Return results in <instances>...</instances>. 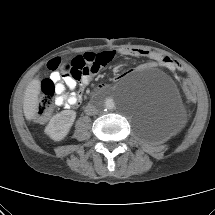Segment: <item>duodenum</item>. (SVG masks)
<instances>
[{
    "label": "duodenum",
    "instance_id": "1",
    "mask_svg": "<svg viewBox=\"0 0 215 215\" xmlns=\"http://www.w3.org/2000/svg\"><path fill=\"white\" fill-rule=\"evenodd\" d=\"M104 88H105L104 85H100V86H98L97 90L100 91V90H103Z\"/></svg>",
    "mask_w": 215,
    "mask_h": 215
}]
</instances>
